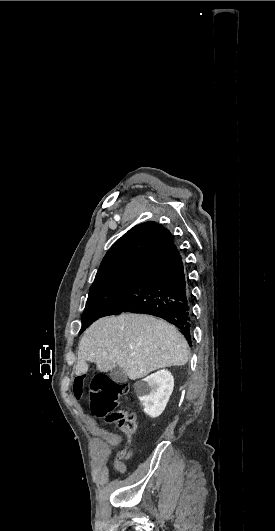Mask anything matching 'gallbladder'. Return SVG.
Listing matches in <instances>:
<instances>
[{
	"label": "gallbladder",
	"mask_w": 275,
	"mask_h": 531,
	"mask_svg": "<svg viewBox=\"0 0 275 531\" xmlns=\"http://www.w3.org/2000/svg\"><path fill=\"white\" fill-rule=\"evenodd\" d=\"M109 377L112 379V381H115V383H126L128 379L127 373H125V371H123L119 365L110 371Z\"/></svg>",
	"instance_id": "bac80fb5"
}]
</instances>
